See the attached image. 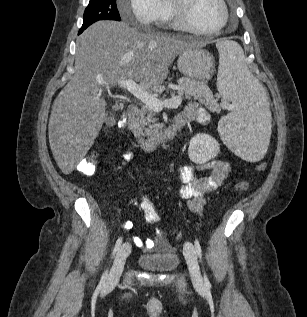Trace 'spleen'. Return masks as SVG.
Segmentation results:
<instances>
[{
  "label": "spleen",
  "instance_id": "obj_1",
  "mask_svg": "<svg viewBox=\"0 0 307 317\" xmlns=\"http://www.w3.org/2000/svg\"><path fill=\"white\" fill-rule=\"evenodd\" d=\"M219 51L217 87L224 98L234 104L232 112L218 124L221 139L240 160H261L268 155L271 139L272 106L265 86H261L245 63L236 40H213Z\"/></svg>",
  "mask_w": 307,
  "mask_h": 317
}]
</instances>
